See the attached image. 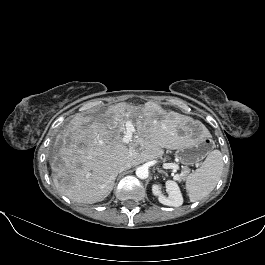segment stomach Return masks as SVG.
<instances>
[{
    "label": "stomach",
    "mask_w": 265,
    "mask_h": 265,
    "mask_svg": "<svg viewBox=\"0 0 265 265\" xmlns=\"http://www.w3.org/2000/svg\"><path fill=\"white\" fill-rule=\"evenodd\" d=\"M211 149L212 142L209 141V139L202 135L197 137H192L190 135L188 144L180 149H177L176 157L182 164L193 165L201 161Z\"/></svg>",
    "instance_id": "1"
}]
</instances>
